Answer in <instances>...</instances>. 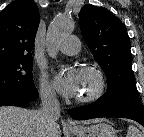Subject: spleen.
I'll use <instances>...</instances> for the list:
<instances>
[{"mask_svg":"<svg viewBox=\"0 0 144 137\" xmlns=\"http://www.w3.org/2000/svg\"><path fill=\"white\" fill-rule=\"evenodd\" d=\"M127 137H144V135L137 127L130 125L128 127Z\"/></svg>","mask_w":144,"mask_h":137,"instance_id":"1","label":"spleen"}]
</instances>
